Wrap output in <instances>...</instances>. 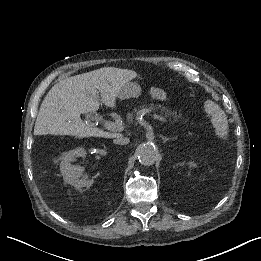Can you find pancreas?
I'll return each instance as SVG.
<instances>
[{
	"label": "pancreas",
	"mask_w": 261,
	"mask_h": 261,
	"mask_svg": "<svg viewBox=\"0 0 261 261\" xmlns=\"http://www.w3.org/2000/svg\"><path fill=\"white\" fill-rule=\"evenodd\" d=\"M144 109L159 112V114L171 118V120H173L179 125H185L188 122L187 117L174 112L173 109L171 108H168L166 106H160V104L158 103L153 104V103H145V102H142L140 105H137L136 107H132L128 111L127 122L129 124H132L134 122L135 114L137 112L143 111Z\"/></svg>",
	"instance_id": "cf45deb5"
}]
</instances>
